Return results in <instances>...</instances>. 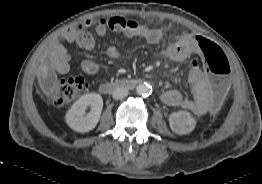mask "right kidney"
<instances>
[{"label": "right kidney", "mask_w": 262, "mask_h": 184, "mask_svg": "<svg viewBox=\"0 0 262 184\" xmlns=\"http://www.w3.org/2000/svg\"><path fill=\"white\" fill-rule=\"evenodd\" d=\"M91 110L86 114L87 108ZM103 108V99L99 94L89 93L81 96L66 113L68 126L80 133H86L95 128L99 122ZM86 114V115H85Z\"/></svg>", "instance_id": "ca27d5eb"}]
</instances>
